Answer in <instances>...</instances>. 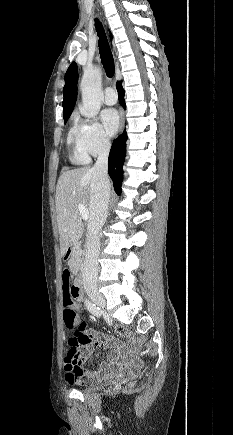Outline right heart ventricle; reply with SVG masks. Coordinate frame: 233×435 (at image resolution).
I'll use <instances>...</instances> for the list:
<instances>
[{
	"instance_id": "1",
	"label": "right heart ventricle",
	"mask_w": 233,
	"mask_h": 435,
	"mask_svg": "<svg viewBox=\"0 0 233 435\" xmlns=\"http://www.w3.org/2000/svg\"><path fill=\"white\" fill-rule=\"evenodd\" d=\"M68 143L71 147V160L76 164H87L89 156L84 148V128L83 124L75 119L68 132Z\"/></svg>"
}]
</instances>
